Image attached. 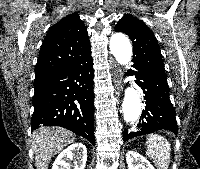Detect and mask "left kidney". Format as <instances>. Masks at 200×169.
Returning a JSON list of instances; mask_svg holds the SVG:
<instances>
[{
  "mask_svg": "<svg viewBox=\"0 0 200 169\" xmlns=\"http://www.w3.org/2000/svg\"><path fill=\"white\" fill-rule=\"evenodd\" d=\"M126 162L128 169H155L146 158L133 150L127 152Z\"/></svg>",
  "mask_w": 200,
  "mask_h": 169,
  "instance_id": "obj_1",
  "label": "left kidney"
}]
</instances>
